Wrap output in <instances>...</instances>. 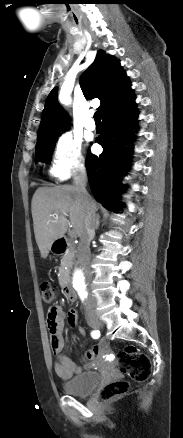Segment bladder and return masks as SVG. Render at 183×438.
Here are the masks:
<instances>
[{
	"mask_svg": "<svg viewBox=\"0 0 183 438\" xmlns=\"http://www.w3.org/2000/svg\"><path fill=\"white\" fill-rule=\"evenodd\" d=\"M101 374L98 372H84L64 382L63 390L74 396H88L99 384Z\"/></svg>",
	"mask_w": 183,
	"mask_h": 438,
	"instance_id": "obj_1",
	"label": "bladder"
}]
</instances>
